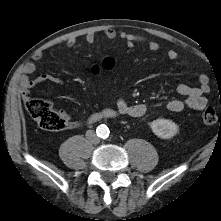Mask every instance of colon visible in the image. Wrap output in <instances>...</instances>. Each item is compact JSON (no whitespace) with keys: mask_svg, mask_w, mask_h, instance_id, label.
Masks as SVG:
<instances>
[{"mask_svg":"<svg viewBox=\"0 0 221 221\" xmlns=\"http://www.w3.org/2000/svg\"><path fill=\"white\" fill-rule=\"evenodd\" d=\"M115 60L105 59L101 65H94L92 71L98 73L100 68L111 70L115 67ZM25 106L30 115L37 121L38 125L47 131H62L68 127L66 118L53 110L51 103L45 99L29 97L25 100ZM205 124H214L218 120V114L212 108H207L201 115Z\"/></svg>","mask_w":221,"mask_h":221,"instance_id":"colon-1","label":"colon"}]
</instances>
